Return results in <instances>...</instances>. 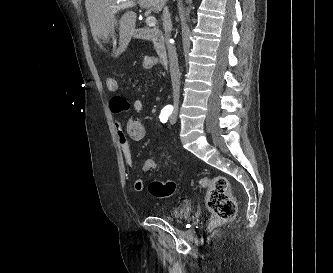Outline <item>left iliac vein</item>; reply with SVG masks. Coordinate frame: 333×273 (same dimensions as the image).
<instances>
[{
	"label": "left iliac vein",
	"instance_id": "1",
	"mask_svg": "<svg viewBox=\"0 0 333 273\" xmlns=\"http://www.w3.org/2000/svg\"><path fill=\"white\" fill-rule=\"evenodd\" d=\"M176 120H177V114L174 113L171 118H170V123L171 124H175L176 123Z\"/></svg>",
	"mask_w": 333,
	"mask_h": 273
}]
</instances>
